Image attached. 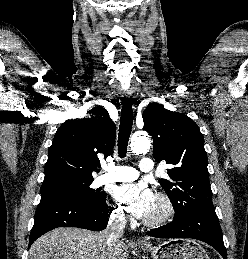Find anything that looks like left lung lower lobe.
<instances>
[{"mask_svg":"<svg viewBox=\"0 0 248 259\" xmlns=\"http://www.w3.org/2000/svg\"><path fill=\"white\" fill-rule=\"evenodd\" d=\"M147 235L157 238H193L214 247L224 259L227 252L215 210L196 211L174 220L164 226L150 230Z\"/></svg>","mask_w":248,"mask_h":259,"instance_id":"1","label":"left lung lower lobe"}]
</instances>
